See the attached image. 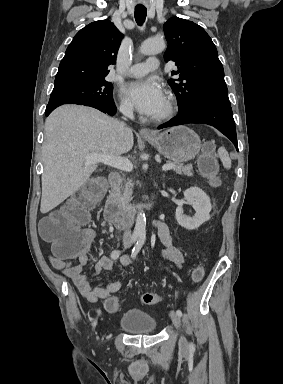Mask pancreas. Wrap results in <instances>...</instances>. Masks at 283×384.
I'll return each instance as SVG.
<instances>
[{
  "label": "pancreas",
  "mask_w": 283,
  "mask_h": 384,
  "mask_svg": "<svg viewBox=\"0 0 283 384\" xmlns=\"http://www.w3.org/2000/svg\"><path fill=\"white\" fill-rule=\"evenodd\" d=\"M167 164H173L176 174H185V176H193V166L188 164V166H184V164H178V162H167ZM134 184H132V180H128L125 182L124 186H116L113 188V196L117 202L122 206L124 212H130L132 210L131 204V196L133 194L132 188Z\"/></svg>",
  "instance_id": "obj_1"
}]
</instances>
